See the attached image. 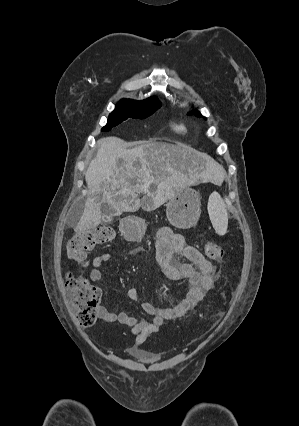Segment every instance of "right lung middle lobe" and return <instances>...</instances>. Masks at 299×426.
<instances>
[{
    "label": "right lung middle lobe",
    "instance_id": "1",
    "mask_svg": "<svg viewBox=\"0 0 299 426\" xmlns=\"http://www.w3.org/2000/svg\"><path fill=\"white\" fill-rule=\"evenodd\" d=\"M160 106L161 103L153 97L144 101H120L109 115L108 122L102 130L109 131L128 118H146Z\"/></svg>",
    "mask_w": 299,
    "mask_h": 426
}]
</instances>
